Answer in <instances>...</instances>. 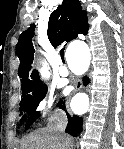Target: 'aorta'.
Wrapping results in <instances>:
<instances>
[{"instance_id":"762f6f07","label":"aorta","mask_w":124,"mask_h":149,"mask_svg":"<svg viewBox=\"0 0 124 149\" xmlns=\"http://www.w3.org/2000/svg\"><path fill=\"white\" fill-rule=\"evenodd\" d=\"M76 55L82 57L86 64L89 63L90 53L88 47L84 43H80L76 50ZM45 75H47L46 70H44Z\"/></svg>"}]
</instances>
